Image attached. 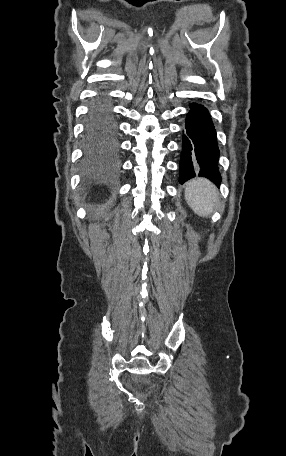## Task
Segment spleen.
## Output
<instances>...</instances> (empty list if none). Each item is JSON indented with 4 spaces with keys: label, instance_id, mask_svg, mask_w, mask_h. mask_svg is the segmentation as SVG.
Instances as JSON below:
<instances>
[{
    "label": "spleen",
    "instance_id": "spleen-1",
    "mask_svg": "<svg viewBox=\"0 0 286 456\" xmlns=\"http://www.w3.org/2000/svg\"><path fill=\"white\" fill-rule=\"evenodd\" d=\"M185 199L197 215L208 217L219 203V194L213 183L207 179L198 178L187 183Z\"/></svg>",
    "mask_w": 286,
    "mask_h": 456
}]
</instances>
